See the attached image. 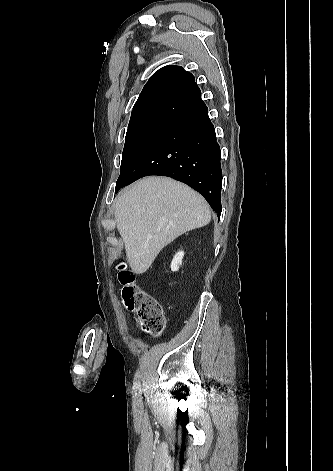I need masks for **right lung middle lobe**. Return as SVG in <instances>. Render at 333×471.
<instances>
[{"mask_svg":"<svg viewBox=\"0 0 333 471\" xmlns=\"http://www.w3.org/2000/svg\"><path fill=\"white\" fill-rule=\"evenodd\" d=\"M176 119L147 115L131 117L122 154L120 176L137 156Z\"/></svg>","mask_w":333,"mask_h":471,"instance_id":"1","label":"right lung middle lobe"}]
</instances>
